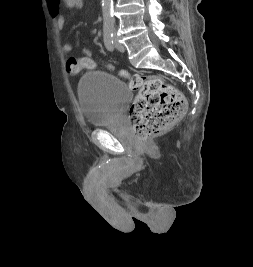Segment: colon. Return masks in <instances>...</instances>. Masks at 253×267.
Here are the masks:
<instances>
[{"instance_id":"colon-1","label":"colon","mask_w":253,"mask_h":267,"mask_svg":"<svg viewBox=\"0 0 253 267\" xmlns=\"http://www.w3.org/2000/svg\"><path fill=\"white\" fill-rule=\"evenodd\" d=\"M82 53L83 57H70L67 60V71L70 74L96 67V63L90 57V49L84 47ZM107 67L112 68L110 65ZM121 76L128 80L132 90L138 91V96L129 110L130 124L138 139L146 140L159 134L183 116L186 110L185 97L161 78L129 74L126 71H122Z\"/></svg>"}]
</instances>
